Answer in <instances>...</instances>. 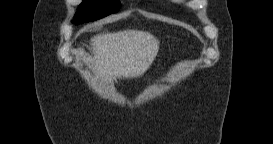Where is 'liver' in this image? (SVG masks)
<instances>
[{"label": "liver", "instance_id": "6515ba94", "mask_svg": "<svg viewBox=\"0 0 273 144\" xmlns=\"http://www.w3.org/2000/svg\"><path fill=\"white\" fill-rule=\"evenodd\" d=\"M159 40L149 32L124 30L91 38L89 66L103 81L142 76L159 51Z\"/></svg>", "mask_w": 273, "mask_h": 144}]
</instances>
